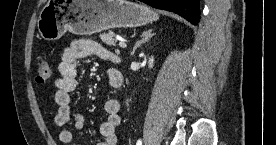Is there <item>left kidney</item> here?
<instances>
[{
  "label": "left kidney",
  "instance_id": "1",
  "mask_svg": "<svg viewBox=\"0 0 276 145\" xmlns=\"http://www.w3.org/2000/svg\"><path fill=\"white\" fill-rule=\"evenodd\" d=\"M153 63H154V58L153 57L149 58V61H148L149 68L153 67Z\"/></svg>",
  "mask_w": 276,
  "mask_h": 145
}]
</instances>
